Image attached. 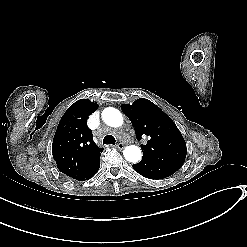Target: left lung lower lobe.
<instances>
[{
    "mask_svg": "<svg viewBox=\"0 0 247 247\" xmlns=\"http://www.w3.org/2000/svg\"><path fill=\"white\" fill-rule=\"evenodd\" d=\"M140 175L150 179H163L174 174L179 168L171 166L161 160L143 156L142 160L132 165Z\"/></svg>",
    "mask_w": 247,
    "mask_h": 247,
    "instance_id": "obj_1",
    "label": "left lung lower lobe"
}]
</instances>
